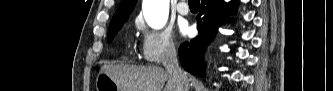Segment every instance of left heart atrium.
<instances>
[{
  "instance_id": "1",
  "label": "left heart atrium",
  "mask_w": 333,
  "mask_h": 91,
  "mask_svg": "<svg viewBox=\"0 0 333 91\" xmlns=\"http://www.w3.org/2000/svg\"><path fill=\"white\" fill-rule=\"evenodd\" d=\"M181 31H182V33H183L184 35H188V34H190L191 29H190V27H189L188 25H184V26L181 28Z\"/></svg>"
}]
</instances>
